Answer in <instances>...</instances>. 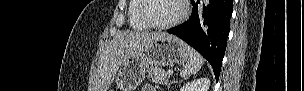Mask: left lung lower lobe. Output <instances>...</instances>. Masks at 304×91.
Listing matches in <instances>:
<instances>
[{
	"label": "left lung lower lobe",
	"instance_id": "obj_1",
	"mask_svg": "<svg viewBox=\"0 0 304 91\" xmlns=\"http://www.w3.org/2000/svg\"><path fill=\"white\" fill-rule=\"evenodd\" d=\"M193 9L189 19L168 33L174 34L196 49L213 67L216 80L219 78L230 17L232 0H192Z\"/></svg>",
	"mask_w": 304,
	"mask_h": 91
}]
</instances>
